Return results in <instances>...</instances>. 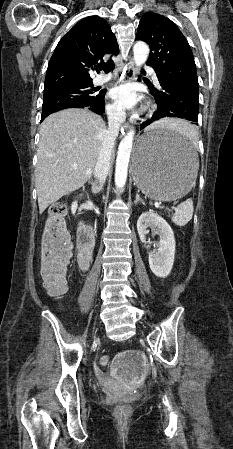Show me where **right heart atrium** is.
<instances>
[{"mask_svg":"<svg viewBox=\"0 0 233 449\" xmlns=\"http://www.w3.org/2000/svg\"><path fill=\"white\" fill-rule=\"evenodd\" d=\"M107 113L111 119L118 120L120 118V112L114 105L107 106Z\"/></svg>","mask_w":233,"mask_h":449,"instance_id":"right-heart-atrium-1","label":"right heart atrium"}]
</instances>
